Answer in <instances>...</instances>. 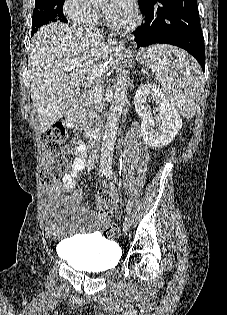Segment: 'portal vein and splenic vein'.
Returning a JSON list of instances; mask_svg holds the SVG:
<instances>
[{
    "label": "portal vein and splenic vein",
    "instance_id": "18ae733b",
    "mask_svg": "<svg viewBox=\"0 0 227 315\" xmlns=\"http://www.w3.org/2000/svg\"><path fill=\"white\" fill-rule=\"evenodd\" d=\"M73 64L78 65L79 62L74 61ZM66 70H67V71H70V69H66ZM90 93H91L92 95H94L95 97H99V96H100V93H102V91H101L100 88L94 87L92 90H90Z\"/></svg>",
    "mask_w": 227,
    "mask_h": 315
}]
</instances>
